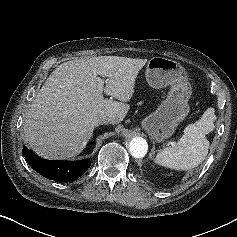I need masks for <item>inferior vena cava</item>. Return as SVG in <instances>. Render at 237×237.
Here are the masks:
<instances>
[{
    "instance_id": "inferior-vena-cava-1",
    "label": "inferior vena cava",
    "mask_w": 237,
    "mask_h": 237,
    "mask_svg": "<svg viewBox=\"0 0 237 237\" xmlns=\"http://www.w3.org/2000/svg\"><path fill=\"white\" fill-rule=\"evenodd\" d=\"M93 122H94V125H95V126H98V125H101V124H109V123H112L113 120H112V118H110V117L101 115V116L95 117Z\"/></svg>"
}]
</instances>
